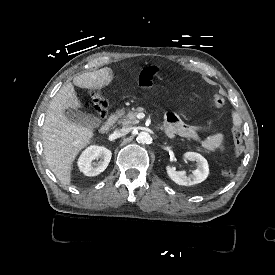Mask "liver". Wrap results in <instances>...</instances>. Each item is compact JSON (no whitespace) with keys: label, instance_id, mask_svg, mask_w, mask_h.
<instances>
[{"label":"liver","instance_id":"liver-1","mask_svg":"<svg viewBox=\"0 0 275 275\" xmlns=\"http://www.w3.org/2000/svg\"><path fill=\"white\" fill-rule=\"evenodd\" d=\"M113 75L108 67L86 72L73 79L80 88L98 89L111 83ZM80 107L72 83L65 84L53 100L43 125L44 155L51 171L64 185L70 184L72 162L93 137V130L68 120L64 112Z\"/></svg>","mask_w":275,"mask_h":275}]
</instances>
